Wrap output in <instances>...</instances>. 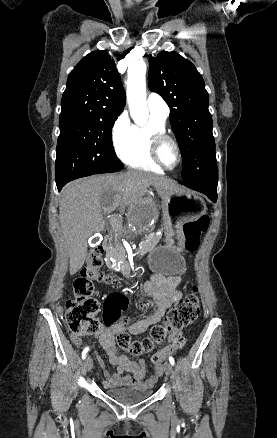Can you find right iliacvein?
<instances>
[{"instance_id": "obj_1", "label": "right iliac vein", "mask_w": 277, "mask_h": 438, "mask_svg": "<svg viewBox=\"0 0 277 438\" xmlns=\"http://www.w3.org/2000/svg\"><path fill=\"white\" fill-rule=\"evenodd\" d=\"M85 369L87 372L91 371L92 367H93V360L90 356H88L85 360L84 363Z\"/></svg>"}]
</instances>
